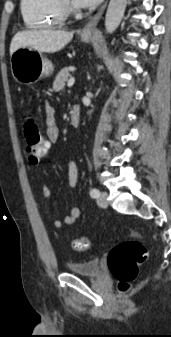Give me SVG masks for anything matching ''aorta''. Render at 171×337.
I'll return each mask as SVG.
<instances>
[{
    "instance_id": "1",
    "label": "aorta",
    "mask_w": 171,
    "mask_h": 337,
    "mask_svg": "<svg viewBox=\"0 0 171 337\" xmlns=\"http://www.w3.org/2000/svg\"><path fill=\"white\" fill-rule=\"evenodd\" d=\"M127 0H110L105 17L107 33H113L124 16Z\"/></svg>"
}]
</instances>
